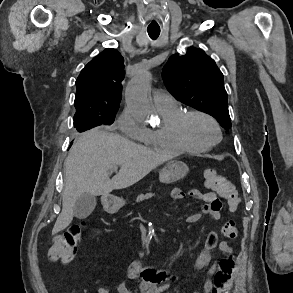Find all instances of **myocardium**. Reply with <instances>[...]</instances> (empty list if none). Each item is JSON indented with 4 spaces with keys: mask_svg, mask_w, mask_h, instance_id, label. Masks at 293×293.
I'll return each mask as SVG.
<instances>
[{
    "mask_svg": "<svg viewBox=\"0 0 293 293\" xmlns=\"http://www.w3.org/2000/svg\"><path fill=\"white\" fill-rule=\"evenodd\" d=\"M193 116H200V117L207 119L209 122H211L216 129L217 139L214 140L213 142L205 144V145H197V144H194L193 142H191L187 136V133H186V126H187V122H188L189 118L193 117ZM175 131H176L178 138L184 144H186L188 147H190L191 149H193L195 151H205V150L212 148L213 146H215L216 144H218L222 140V136H223L222 128H221L219 122L212 115H210L204 111H201V110H189V111L182 112V114L176 120Z\"/></svg>",
    "mask_w": 293,
    "mask_h": 293,
    "instance_id": "myocardium-1",
    "label": "myocardium"
}]
</instances>
